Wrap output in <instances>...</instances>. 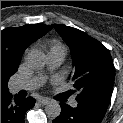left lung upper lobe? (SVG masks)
I'll return each mask as SVG.
<instances>
[{"mask_svg": "<svg viewBox=\"0 0 123 123\" xmlns=\"http://www.w3.org/2000/svg\"><path fill=\"white\" fill-rule=\"evenodd\" d=\"M73 55V87L79 92L78 104L106 113L110 103L115 67L109 50L99 41L76 28L53 24Z\"/></svg>", "mask_w": 123, "mask_h": 123, "instance_id": "1", "label": "left lung upper lobe"}]
</instances>
